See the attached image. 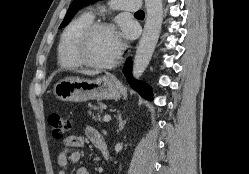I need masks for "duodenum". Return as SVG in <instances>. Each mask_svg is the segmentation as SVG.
<instances>
[{"label": "duodenum", "mask_w": 249, "mask_h": 174, "mask_svg": "<svg viewBox=\"0 0 249 174\" xmlns=\"http://www.w3.org/2000/svg\"><path fill=\"white\" fill-rule=\"evenodd\" d=\"M102 148V155L105 159H108L109 158V151H108V147L105 146V145H102L101 146Z\"/></svg>", "instance_id": "duodenum-1"}]
</instances>
